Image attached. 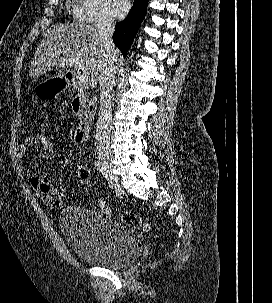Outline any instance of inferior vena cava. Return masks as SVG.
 Listing matches in <instances>:
<instances>
[{
    "mask_svg": "<svg viewBox=\"0 0 272 303\" xmlns=\"http://www.w3.org/2000/svg\"><path fill=\"white\" fill-rule=\"evenodd\" d=\"M97 30L102 38L104 46V61L102 71L99 76L100 84V110L96 129V143L99 157L101 159H111L110 133L112 120V100L111 92L115 83V56L114 44L112 40L115 31L113 18L109 14L100 16L97 22Z\"/></svg>",
    "mask_w": 272,
    "mask_h": 303,
    "instance_id": "inferior-vena-cava-1",
    "label": "inferior vena cava"
}]
</instances>
